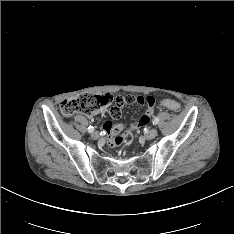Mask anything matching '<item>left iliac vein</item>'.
<instances>
[{"label": "left iliac vein", "mask_w": 234, "mask_h": 234, "mask_svg": "<svg viewBox=\"0 0 234 234\" xmlns=\"http://www.w3.org/2000/svg\"><path fill=\"white\" fill-rule=\"evenodd\" d=\"M157 134H158L157 129H156V128H152V129H150V130L146 133L145 138H146L147 140H151V139H154V138L157 136Z\"/></svg>", "instance_id": "obj_1"}]
</instances>
